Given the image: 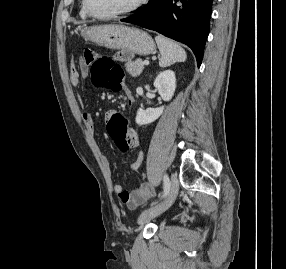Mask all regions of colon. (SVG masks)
Listing matches in <instances>:
<instances>
[{"mask_svg": "<svg viewBox=\"0 0 286 269\" xmlns=\"http://www.w3.org/2000/svg\"><path fill=\"white\" fill-rule=\"evenodd\" d=\"M132 54H134V49H118L115 57L98 58L94 51L86 49L84 57L89 62L93 83L119 91L124 74L122 68L115 62H131ZM126 115V111H117L113 119L108 122L109 134L122 153L128 152L131 148L125 127L130 126V121H126Z\"/></svg>", "mask_w": 286, "mask_h": 269, "instance_id": "5ec220e1", "label": "colon"}]
</instances>
